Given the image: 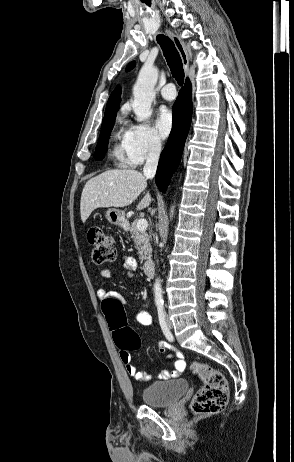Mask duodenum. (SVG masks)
<instances>
[{"mask_svg": "<svg viewBox=\"0 0 294 462\" xmlns=\"http://www.w3.org/2000/svg\"><path fill=\"white\" fill-rule=\"evenodd\" d=\"M154 262L152 260H146L143 264V270L146 276L150 277L154 275Z\"/></svg>", "mask_w": 294, "mask_h": 462, "instance_id": "obj_1", "label": "duodenum"}]
</instances>
